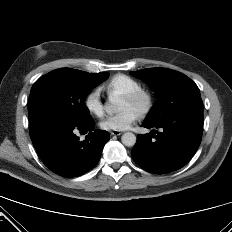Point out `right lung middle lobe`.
I'll use <instances>...</instances> for the list:
<instances>
[{
    "label": "right lung middle lobe",
    "mask_w": 232,
    "mask_h": 232,
    "mask_svg": "<svg viewBox=\"0 0 232 232\" xmlns=\"http://www.w3.org/2000/svg\"><path fill=\"white\" fill-rule=\"evenodd\" d=\"M109 74L87 73L61 68L40 77L32 86L28 114L29 122H60L81 125L92 121L85 98L89 90Z\"/></svg>",
    "instance_id": "obj_1"
}]
</instances>
